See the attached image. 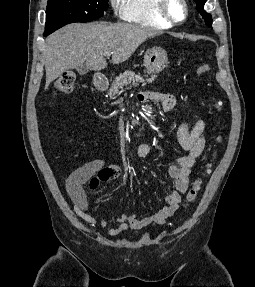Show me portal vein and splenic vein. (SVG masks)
I'll list each match as a JSON object with an SVG mask.
<instances>
[{"label":"portal vein and splenic vein","instance_id":"18ae733b","mask_svg":"<svg viewBox=\"0 0 255 287\" xmlns=\"http://www.w3.org/2000/svg\"><path fill=\"white\" fill-rule=\"evenodd\" d=\"M111 54H113V52H108V54H105V56H107V58H109V56H111Z\"/></svg>","mask_w":255,"mask_h":287}]
</instances>
